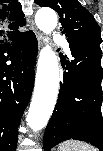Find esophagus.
Returning <instances> with one entry per match:
<instances>
[{
  "mask_svg": "<svg viewBox=\"0 0 103 151\" xmlns=\"http://www.w3.org/2000/svg\"><path fill=\"white\" fill-rule=\"evenodd\" d=\"M29 24H30V28L35 32V34L37 36L39 47H41L42 46V38H43L42 34L37 30V28L35 27L34 22L31 18L29 19Z\"/></svg>",
  "mask_w": 103,
  "mask_h": 151,
  "instance_id": "esophagus-1",
  "label": "esophagus"
}]
</instances>
